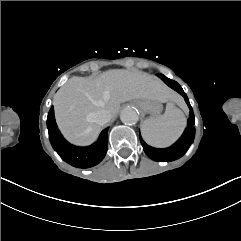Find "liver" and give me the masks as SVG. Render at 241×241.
Returning a JSON list of instances; mask_svg holds the SVG:
<instances>
[{
  "label": "liver",
  "mask_w": 241,
  "mask_h": 241,
  "mask_svg": "<svg viewBox=\"0 0 241 241\" xmlns=\"http://www.w3.org/2000/svg\"><path fill=\"white\" fill-rule=\"evenodd\" d=\"M178 96L156 77L141 72L110 70L98 77H71L56 93L54 107L64 135L77 144H89L101 129L89 123L90 112L104 109L115 118L120 105L133 99L177 102Z\"/></svg>",
  "instance_id": "obj_1"
}]
</instances>
